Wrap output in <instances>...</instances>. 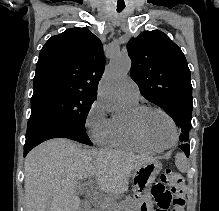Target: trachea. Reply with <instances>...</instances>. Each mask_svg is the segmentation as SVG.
I'll return each instance as SVG.
<instances>
[{"mask_svg":"<svg viewBox=\"0 0 219 211\" xmlns=\"http://www.w3.org/2000/svg\"><path fill=\"white\" fill-rule=\"evenodd\" d=\"M125 8V5H117V12H121Z\"/></svg>","mask_w":219,"mask_h":211,"instance_id":"trachea-1","label":"trachea"}]
</instances>
